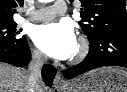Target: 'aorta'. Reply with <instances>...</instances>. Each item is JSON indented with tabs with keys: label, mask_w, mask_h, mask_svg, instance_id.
I'll use <instances>...</instances> for the list:
<instances>
[{
	"label": "aorta",
	"mask_w": 127,
	"mask_h": 92,
	"mask_svg": "<svg viewBox=\"0 0 127 92\" xmlns=\"http://www.w3.org/2000/svg\"><path fill=\"white\" fill-rule=\"evenodd\" d=\"M41 2H49L50 0H40Z\"/></svg>",
	"instance_id": "obj_1"
}]
</instances>
